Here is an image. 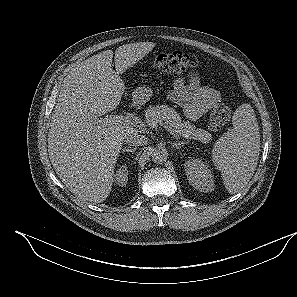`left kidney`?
I'll return each mask as SVG.
<instances>
[{
    "instance_id": "1",
    "label": "left kidney",
    "mask_w": 297,
    "mask_h": 297,
    "mask_svg": "<svg viewBox=\"0 0 297 297\" xmlns=\"http://www.w3.org/2000/svg\"><path fill=\"white\" fill-rule=\"evenodd\" d=\"M184 166L187 179L195 189L206 193L214 190L213 175L202 160L190 159Z\"/></svg>"
}]
</instances>
